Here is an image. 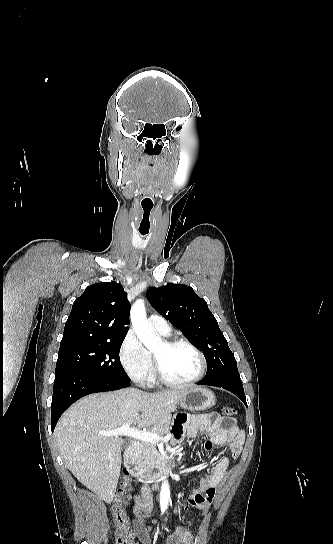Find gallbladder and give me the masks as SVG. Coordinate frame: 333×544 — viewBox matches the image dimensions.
Segmentation results:
<instances>
[{
	"label": "gallbladder",
	"instance_id": "gallbladder-1",
	"mask_svg": "<svg viewBox=\"0 0 333 544\" xmlns=\"http://www.w3.org/2000/svg\"><path fill=\"white\" fill-rule=\"evenodd\" d=\"M126 447H127V443H124L123 446H122V449H124Z\"/></svg>",
	"mask_w": 333,
	"mask_h": 544
}]
</instances>
